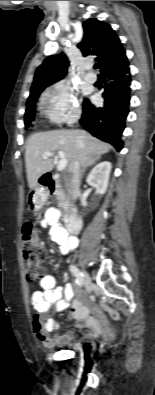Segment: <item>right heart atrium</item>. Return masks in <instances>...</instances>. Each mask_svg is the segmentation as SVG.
Wrapping results in <instances>:
<instances>
[{
	"label": "right heart atrium",
	"mask_w": 155,
	"mask_h": 395,
	"mask_svg": "<svg viewBox=\"0 0 155 395\" xmlns=\"http://www.w3.org/2000/svg\"><path fill=\"white\" fill-rule=\"evenodd\" d=\"M47 119L56 125L74 122L80 115L75 89L65 81L53 84L44 95Z\"/></svg>",
	"instance_id": "d8ad5b80"
}]
</instances>
